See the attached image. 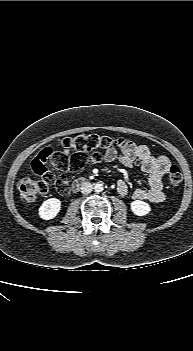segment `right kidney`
<instances>
[{"label":"right kidney","mask_w":193,"mask_h":351,"mask_svg":"<svg viewBox=\"0 0 193 351\" xmlns=\"http://www.w3.org/2000/svg\"><path fill=\"white\" fill-rule=\"evenodd\" d=\"M61 208V201L57 198L45 200L39 208V216L44 220H50L57 216Z\"/></svg>","instance_id":"obj_1"}]
</instances>
